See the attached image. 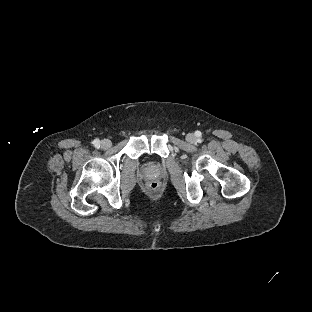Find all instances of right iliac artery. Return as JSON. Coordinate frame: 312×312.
Here are the masks:
<instances>
[{"label": "right iliac artery", "instance_id": "82829eb1", "mask_svg": "<svg viewBox=\"0 0 312 312\" xmlns=\"http://www.w3.org/2000/svg\"><path fill=\"white\" fill-rule=\"evenodd\" d=\"M92 143L94 144L95 147H99L100 145V141L98 139H95Z\"/></svg>", "mask_w": 312, "mask_h": 312}]
</instances>
